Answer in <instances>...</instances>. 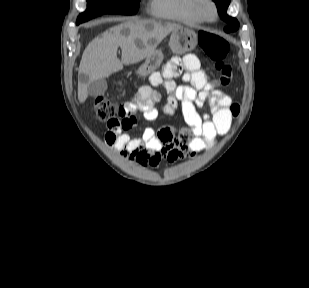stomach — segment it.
Masks as SVG:
<instances>
[{
	"mask_svg": "<svg viewBox=\"0 0 309 288\" xmlns=\"http://www.w3.org/2000/svg\"><path fill=\"white\" fill-rule=\"evenodd\" d=\"M198 42L196 32L188 27L180 26L170 36L169 46L174 54H183L195 48ZM164 55L161 50H155L145 59V62L138 69L137 74L146 76L160 67Z\"/></svg>",
	"mask_w": 309,
	"mask_h": 288,
	"instance_id": "stomach-1",
	"label": "stomach"
}]
</instances>
